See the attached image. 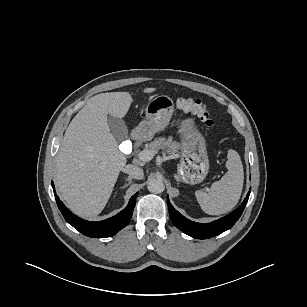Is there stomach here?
<instances>
[{"label":"stomach","mask_w":307,"mask_h":307,"mask_svg":"<svg viewBox=\"0 0 307 307\" xmlns=\"http://www.w3.org/2000/svg\"><path fill=\"white\" fill-rule=\"evenodd\" d=\"M173 111V100L170 97L166 95L155 97L146 106V119L136 127V135L144 140L152 139L156 132L168 125ZM179 133L182 150L179 176L183 182L191 185L201 183L209 171L205 139L196 129L192 119L181 121Z\"/></svg>","instance_id":"obj_1"}]
</instances>
